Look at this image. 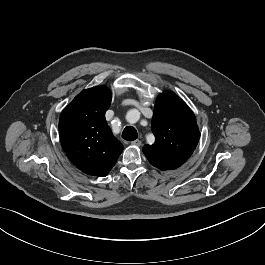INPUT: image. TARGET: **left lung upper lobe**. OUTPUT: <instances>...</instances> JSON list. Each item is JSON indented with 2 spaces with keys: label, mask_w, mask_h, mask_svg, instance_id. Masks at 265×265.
I'll return each mask as SVG.
<instances>
[{
  "label": "left lung upper lobe",
  "mask_w": 265,
  "mask_h": 265,
  "mask_svg": "<svg viewBox=\"0 0 265 265\" xmlns=\"http://www.w3.org/2000/svg\"><path fill=\"white\" fill-rule=\"evenodd\" d=\"M151 129L155 143L145 145L143 152L151 165L161 170L180 167L192 155L200 138L193 112L170 91L158 96Z\"/></svg>",
  "instance_id": "left-lung-upper-lobe-1"
}]
</instances>
